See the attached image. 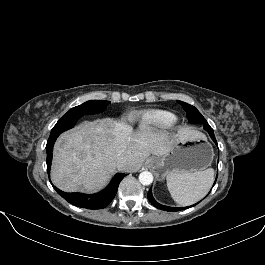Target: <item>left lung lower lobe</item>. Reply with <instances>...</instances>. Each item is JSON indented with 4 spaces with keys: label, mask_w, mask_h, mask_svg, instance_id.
I'll return each instance as SVG.
<instances>
[{
    "label": "left lung lower lobe",
    "mask_w": 265,
    "mask_h": 265,
    "mask_svg": "<svg viewBox=\"0 0 265 265\" xmlns=\"http://www.w3.org/2000/svg\"><path fill=\"white\" fill-rule=\"evenodd\" d=\"M204 124V129L209 133L211 139L215 142V144H217V141H216V138L214 136V131L213 129L210 127V125L205 122V123H202ZM217 179V177H216ZM216 182V180H215ZM215 184V183H214ZM148 199L149 201L151 202L152 205H154L156 208H159L161 210H165V211H169V212H175V211H179V210H183V209H186L188 207H184V208H175V207H168V206H164V205H161L159 204L158 202L155 201V199L153 198V195H152V190L150 189L149 192H148Z\"/></svg>",
    "instance_id": "1"
}]
</instances>
